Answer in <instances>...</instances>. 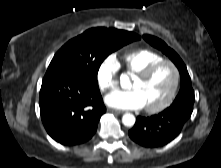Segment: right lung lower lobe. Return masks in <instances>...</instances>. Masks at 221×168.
I'll return each instance as SVG.
<instances>
[{
	"instance_id": "98d812e1",
	"label": "right lung lower lobe",
	"mask_w": 221,
	"mask_h": 168,
	"mask_svg": "<svg viewBox=\"0 0 221 168\" xmlns=\"http://www.w3.org/2000/svg\"><path fill=\"white\" fill-rule=\"evenodd\" d=\"M39 105L47 133L63 145L88 141L106 112L98 84L74 74L46 73Z\"/></svg>"
}]
</instances>
